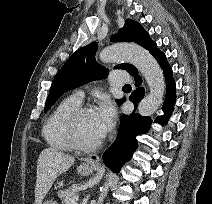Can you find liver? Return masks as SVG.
<instances>
[{
	"mask_svg": "<svg viewBox=\"0 0 212 204\" xmlns=\"http://www.w3.org/2000/svg\"><path fill=\"white\" fill-rule=\"evenodd\" d=\"M75 162L74 157L53 148L42 150L37 161L35 204H42L56 178Z\"/></svg>",
	"mask_w": 212,
	"mask_h": 204,
	"instance_id": "liver-1",
	"label": "liver"
}]
</instances>
